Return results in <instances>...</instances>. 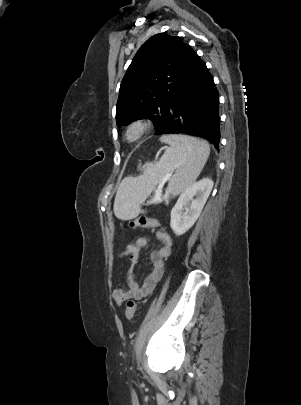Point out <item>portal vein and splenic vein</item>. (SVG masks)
<instances>
[{
    "mask_svg": "<svg viewBox=\"0 0 301 405\" xmlns=\"http://www.w3.org/2000/svg\"><path fill=\"white\" fill-rule=\"evenodd\" d=\"M165 180H166V179H165ZM161 192H162L161 189H158V190L156 191V193H155V195H154V197H153V199H152L153 202H161V201H162Z\"/></svg>",
    "mask_w": 301,
    "mask_h": 405,
    "instance_id": "portal-vein-and-splenic-vein-1",
    "label": "portal vein and splenic vein"
}]
</instances>
